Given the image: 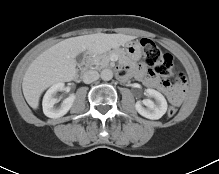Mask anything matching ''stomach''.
Masks as SVG:
<instances>
[{
	"label": "stomach",
	"mask_w": 219,
	"mask_h": 174,
	"mask_svg": "<svg viewBox=\"0 0 219 174\" xmlns=\"http://www.w3.org/2000/svg\"><path fill=\"white\" fill-rule=\"evenodd\" d=\"M122 51L132 61H137L142 56V46L138 41L127 42Z\"/></svg>",
	"instance_id": "stomach-1"
}]
</instances>
